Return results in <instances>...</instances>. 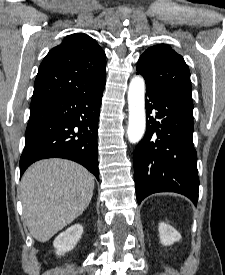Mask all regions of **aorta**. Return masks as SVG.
I'll return each mask as SVG.
<instances>
[{
    "label": "aorta",
    "mask_w": 225,
    "mask_h": 275,
    "mask_svg": "<svg viewBox=\"0 0 225 275\" xmlns=\"http://www.w3.org/2000/svg\"><path fill=\"white\" fill-rule=\"evenodd\" d=\"M128 140L137 143L144 135L146 128L145 117V81L141 76H134L128 89Z\"/></svg>",
    "instance_id": "762f6f07"
}]
</instances>
